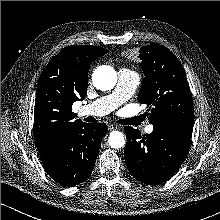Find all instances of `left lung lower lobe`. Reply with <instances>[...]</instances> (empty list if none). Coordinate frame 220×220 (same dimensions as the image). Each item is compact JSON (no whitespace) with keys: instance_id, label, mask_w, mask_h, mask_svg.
Here are the masks:
<instances>
[{"instance_id":"1","label":"left lung lower lobe","mask_w":220,"mask_h":220,"mask_svg":"<svg viewBox=\"0 0 220 220\" xmlns=\"http://www.w3.org/2000/svg\"><path fill=\"white\" fill-rule=\"evenodd\" d=\"M127 143L124 157L134 178L145 184L169 180L180 168L188 153L192 132L174 127H153L150 134L125 127Z\"/></svg>"}]
</instances>
